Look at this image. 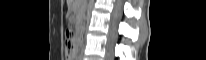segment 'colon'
Wrapping results in <instances>:
<instances>
[{"label":"colon","mask_w":206,"mask_h":60,"mask_svg":"<svg viewBox=\"0 0 206 60\" xmlns=\"http://www.w3.org/2000/svg\"><path fill=\"white\" fill-rule=\"evenodd\" d=\"M66 37H67V40H68V52H69V55L72 56L73 53H74V46H73V43H72L73 32L70 28H68L67 31H66Z\"/></svg>","instance_id":"obj_1"}]
</instances>
